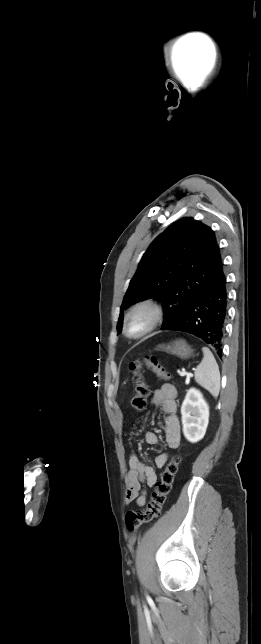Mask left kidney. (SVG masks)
<instances>
[{"label":"left kidney","mask_w":261,"mask_h":644,"mask_svg":"<svg viewBox=\"0 0 261 644\" xmlns=\"http://www.w3.org/2000/svg\"><path fill=\"white\" fill-rule=\"evenodd\" d=\"M181 415L185 438L191 443L201 440L209 422V406L199 390L190 388L187 391L181 406Z\"/></svg>","instance_id":"1"}]
</instances>
